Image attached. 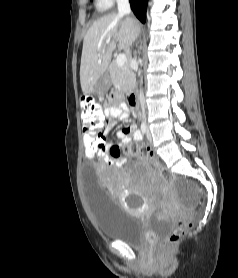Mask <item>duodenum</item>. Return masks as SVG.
I'll return each mask as SVG.
<instances>
[{
  "label": "duodenum",
  "instance_id": "duodenum-1",
  "mask_svg": "<svg viewBox=\"0 0 238 278\" xmlns=\"http://www.w3.org/2000/svg\"><path fill=\"white\" fill-rule=\"evenodd\" d=\"M128 103L130 106L132 107H135L136 104H137V96L134 92H131L129 95H128Z\"/></svg>",
  "mask_w": 238,
  "mask_h": 278
}]
</instances>
